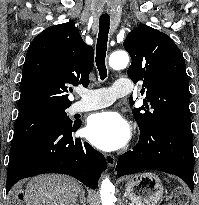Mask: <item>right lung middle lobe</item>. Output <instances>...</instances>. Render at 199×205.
Here are the masks:
<instances>
[{
  "instance_id": "dd1d6c3e",
  "label": "right lung middle lobe",
  "mask_w": 199,
  "mask_h": 205,
  "mask_svg": "<svg viewBox=\"0 0 199 205\" xmlns=\"http://www.w3.org/2000/svg\"><path fill=\"white\" fill-rule=\"evenodd\" d=\"M67 108H45L18 114L11 145L24 142L45 131L71 126L73 123L65 112Z\"/></svg>"
}]
</instances>
